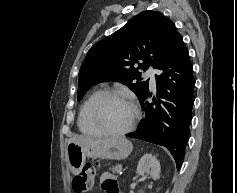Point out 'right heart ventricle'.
<instances>
[{"instance_id": "e07e8e85", "label": "right heart ventricle", "mask_w": 237, "mask_h": 193, "mask_svg": "<svg viewBox=\"0 0 237 193\" xmlns=\"http://www.w3.org/2000/svg\"><path fill=\"white\" fill-rule=\"evenodd\" d=\"M102 93L101 90L94 91L92 94H90L87 99L83 102V104L80 107L79 115H78V127L79 130L87 135L92 137H98L101 136L91 125L89 121V109L92 104V102L95 100V98Z\"/></svg>"}]
</instances>
